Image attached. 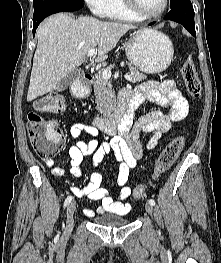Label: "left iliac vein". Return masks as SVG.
Segmentation results:
<instances>
[{
	"label": "left iliac vein",
	"mask_w": 221,
	"mask_h": 263,
	"mask_svg": "<svg viewBox=\"0 0 221 263\" xmlns=\"http://www.w3.org/2000/svg\"><path fill=\"white\" fill-rule=\"evenodd\" d=\"M145 209H146V211H147L148 214H150V215L153 214V206H152L151 204L147 203V204L145 205Z\"/></svg>",
	"instance_id": "left-iliac-vein-1"
}]
</instances>
